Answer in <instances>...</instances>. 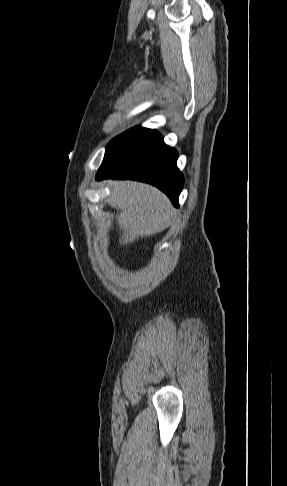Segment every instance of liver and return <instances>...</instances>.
I'll list each match as a JSON object with an SVG mask.
<instances>
[{
	"label": "liver",
	"instance_id": "6515ba94",
	"mask_svg": "<svg viewBox=\"0 0 287 486\" xmlns=\"http://www.w3.org/2000/svg\"><path fill=\"white\" fill-rule=\"evenodd\" d=\"M107 186L108 204L120 210L117 223L123 232L121 245L155 235L167 227L174 211L169 199L157 188L129 180H108Z\"/></svg>",
	"mask_w": 287,
	"mask_h": 486
}]
</instances>
